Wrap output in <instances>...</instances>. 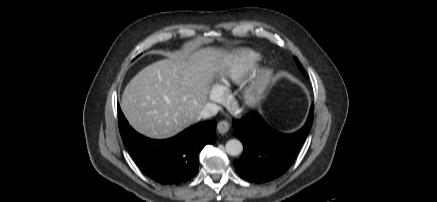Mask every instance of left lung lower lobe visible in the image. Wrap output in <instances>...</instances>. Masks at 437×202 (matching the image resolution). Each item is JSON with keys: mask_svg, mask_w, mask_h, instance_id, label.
Segmentation results:
<instances>
[{"mask_svg": "<svg viewBox=\"0 0 437 202\" xmlns=\"http://www.w3.org/2000/svg\"><path fill=\"white\" fill-rule=\"evenodd\" d=\"M314 104L305 125L295 133L274 131L259 114L233 121L234 135L244 145L234 161L237 173L249 182L263 183L284 174L292 164L313 123Z\"/></svg>", "mask_w": 437, "mask_h": 202, "instance_id": "left-lung-lower-lobe-1", "label": "left lung lower lobe"}]
</instances>
